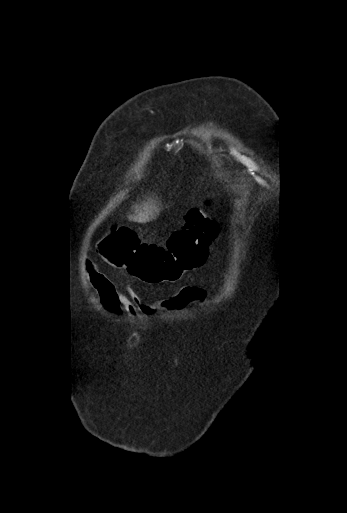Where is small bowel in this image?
Masks as SVG:
<instances>
[{
	"label": "small bowel",
	"instance_id": "small-bowel-1",
	"mask_svg": "<svg viewBox=\"0 0 347 513\" xmlns=\"http://www.w3.org/2000/svg\"><path fill=\"white\" fill-rule=\"evenodd\" d=\"M84 272L108 311L114 314L125 312L135 317L151 316L157 311V308L153 307L154 303L143 302L133 288L128 287L126 293L115 289L109 278L99 271L90 260L85 262ZM206 298L207 292L203 287L183 286L171 296L170 300L160 303L159 306L168 308L189 303H204Z\"/></svg>",
	"mask_w": 347,
	"mask_h": 513
}]
</instances>
